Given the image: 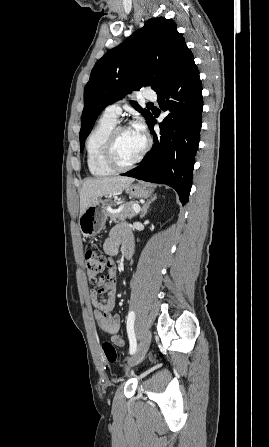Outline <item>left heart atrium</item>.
I'll list each match as a JSON object with an SVG mask.
<instances>
[{
    "mask_svg": "<svg viewBox=\"0 0 269 447\" xmlns=\"http://www.w3.org/2000/svg\"><path fill=\"white\" fill-rule=\"evenodd\" d=\"M133 127L139 132L145 134L146 128L142 120H137L133 123Z\"/></svg>",
    "mask_w": 269,
    "mask_h": 447,
    "instance_id": "left-heart-atrium-1",
    "label": "left heart atrium"
}]
</instances>
